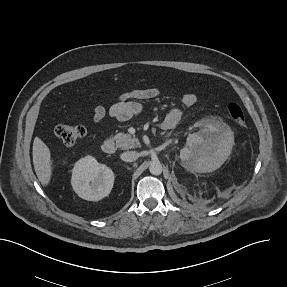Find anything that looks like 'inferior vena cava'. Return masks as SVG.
Instances as JSON below:
<instances>
[{
	"label": "inferior vena cava",
	"instance_id": "1",
	"mask_svg": "<svg viewBox=\"0 0 287 287\" xmlns=\"http://www.w3.org/2000/svg\"><path fill=\"white\" fill-rule=\"evenodd\" d=\"M139 157L136 151H127L121 154V159L125 162H133Z\"/></svg>",
	"mask_w": 287,
	"mask_h": 287
}]
</instances>
